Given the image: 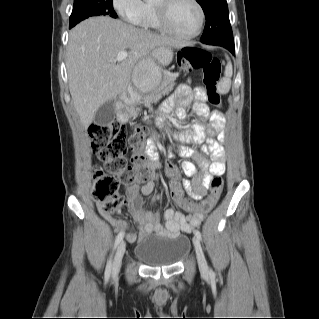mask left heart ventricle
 Segmentation results:
<instances>
[{"label": "left heart ventricle", "mask_w": 319, "mask_h": 319, "mask_svg": "<svg viewBox=\"0 0 319 319\" xmlns=\"http://www.w3.org/2000/svg\"><path fill=\"white\" fill-rule=\"evenodd\" d=\"M155 3H158L157 0ZM198 11L190 0H174L168 14L170 26L183 35L191 34L198 24Z\"/></svg>", "instance_id": "left-heart-ventricle-1"}]
</instances>
